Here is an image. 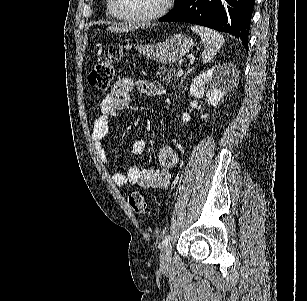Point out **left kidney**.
I'll list each match as a JSON object with an SVG mask.
<instances>
[{"instance_id": "obj_1", "label": "left kidney", "mask_w": 307, "mask_h": 301, "mask_svg": "<svg viewBox=\"0 0 307 301\" xmlns=\"http://www.w3.org/2000/svg\"><path fill=\"white\" fill-rule=\"evenodd\" d=\"M238 70L235 64L231 62H222V64H215L209 70L201 72L199 76L194 78L190 86L191 96H207L212 106H217L222 96L236 84L238 80ZM209 116L208 112L200 114V118L205 120ZM183 122H189L191 116L189 112H182Z\"/></svg>"}]
</instances>
